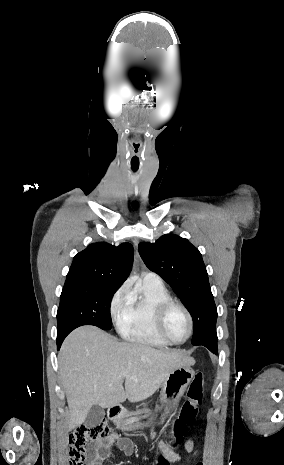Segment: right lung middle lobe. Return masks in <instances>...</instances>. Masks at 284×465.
Instances as JSON below:
<instances>
[{"label":"right lung middle lobe","mask_w":284,"mask_h":465,"mask_svg":"<svg viewBox=\"0 0 284 465\" xmlns=\"http://www.w3.org/2000/svg\"><path fill=\"white\" fill-rule=\"evenodd\" d=\"M117 289L97 281L66 280L57 312V332L82 325L110 330V304Z\"/></svg>","instance_id":"1"}]
</instances>
